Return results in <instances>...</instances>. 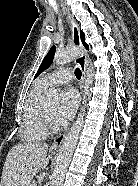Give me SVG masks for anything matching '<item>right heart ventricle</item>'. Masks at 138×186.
Masks as SVG:
<instances>
[{
	"label": "right heart ventricle",
	"mask_w": 138,
	"mask_h": 186,
	"mask_svg": "<svg viewBox=\"0 0 138 186\" xmlns=\"http://www.w3.org/2000/svg\"><path fill=\"white\" fill-rule=\"evenodd\" d=\"M47 88L41 80L38 81L27 99L19 129V137L24 143L39 142L48 136V132L41 123V114L44 108L43 95Z\"/></svg>",
	"instance_id": "e07e8e85"
}]
</instances>
